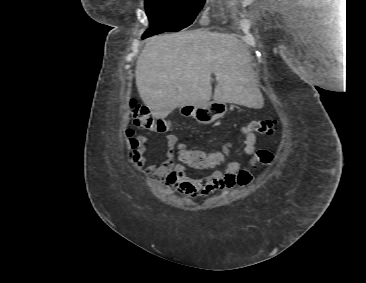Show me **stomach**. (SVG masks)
<instances>
[{"instance_id":"stomach-1","label":"stomach","mask_w":366,"mask_h":283,"mask_svg":"<svg viewBox=\"0 0 366 283\" xmlns=\"http://www.w3.org/2000/svg\"><path fill=\"white\" fill-rule=\"evenodd\" d=\"M183 114L192 116L200 124H210L223 117L227 111L226 102L213 99V101L199 105H184Z\"/></svg>"}]
</instances>
